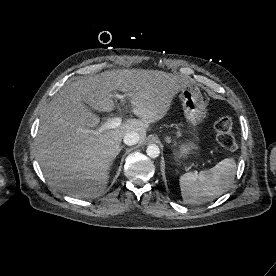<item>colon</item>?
Here are the masks:
<instances>
[{
    "label": "colon",
    "instance_id": "obj_1",
    "mask_svg": "<svg viewBox=\"0 0 276 276\" xmlns=\"http://www.w3.org/2000/svg\"><path fill=\"white\" fill-rule=\"evenodd\" d=\"M214 127L219 144L230 151L238 148V142L232 132V121L227 116H220L215 120Z\"/></svg>",
    "mask_w": 276,
    "mask_h": 276
}]
</instances>
